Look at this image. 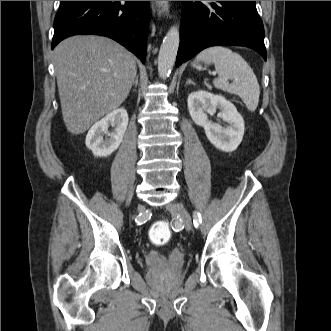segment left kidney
<instances>
[{"mask_svg":"<svg viewBox=\"0 0 331 331\" xmlns=\"http://www.w3.org/2000/svg\"><path fill=\"white\" fill-rule=\"evenodd\" d=\"M188 110L195 124L204 128L208 140L218 149L232 152L237 149L244 135V120L235 106L221 95L206 91L193 92L188 96ZM228 123L226 128L211 123L207 113L214 114Z\"/></svg>","mask_w":331,"mask_h":331,"instance_id":"obj_1","label":"left kidney"}]
</instances>
